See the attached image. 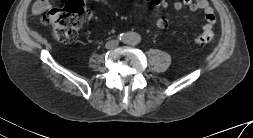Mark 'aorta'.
Returning <instances> with one entry per match:
<instances>
[{"mask_svg":"<svg viewBox=\"0 0 253 138\" xmlns=\"http://www.w3.org/2000/svg\"><path fill=\"white\" fill-rule=\"evenodd\" d=\"M123 41L129 45H136L141 41V36L136 32H127L123 35Z\"/></svg>","mask_w":253,"mask_h":138,"instance_id":"762f6f07","label":"aorta"}]
</instances>
